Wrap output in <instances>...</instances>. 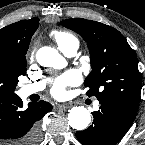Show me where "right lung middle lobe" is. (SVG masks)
I'll return each instance as SVG.
<instances>
[{"instance_id":"right-lung-middle-lobe-1","label":"right lung middle lobe","mask_w":145,"mask_h":145,"mask_svg":"<svg viewBox=\"0 0 145 145\" xmlns=\"http://www.w3.org/2000/svg\"><path fill=\"white\" fill-rule=\"evenodd\" d=\"M26 74L25 55L0 56V96H15L18 77Z\"/></svg>"}]
</instances>
